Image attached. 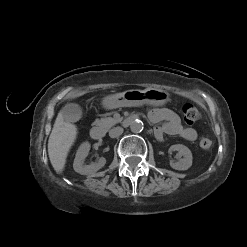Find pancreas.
<instances>
[{
    "label": "pancreas",
    "mask_w": 247,
    "mask_h": 247,
    "mask_svg": "<svg viewBox=\"0 0 247 247\" xmlns=\"http://www.w3.org/2000/svg\"><path fill=\"white\" fill-rule=\"evenodd\" d=\"M122 118L120 117H106V118H101L100 120H96V125H99L105 129H109L112 126H114L116 123L120 122Z\"/></svg>",
    "instance_id": "1"
}]
</instances>
